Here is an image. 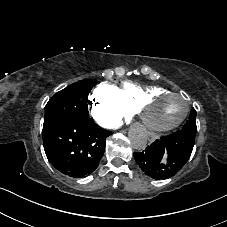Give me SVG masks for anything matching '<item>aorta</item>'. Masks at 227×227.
<instances>
[{
	"instance_id": "1",
	"label": "aorta",
	"mask_w": 227,
	"mask_h": 227,
	"mask_svg": "<svg viewBox=\"0 0 227 227\" xmlns=\"http://www.w3.org/2000/svg\"><path fill=\"white\" fill-rule=\"evenodd\" d=\"M131 141L133 147L138 151L144 150L146 148V137L141 130H137L131 134Z\"/></svg>"
}]
</instances>
